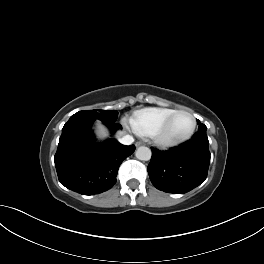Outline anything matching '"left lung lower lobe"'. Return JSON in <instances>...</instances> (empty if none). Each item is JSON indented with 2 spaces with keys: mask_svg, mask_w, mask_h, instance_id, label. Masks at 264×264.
Segmentation results:
<instances>
[{
  "mask_svg": "<svg viewBox=\"0 0 264 264\" xmlns=\"http://www.w3.org/2000/svg\"><path fill=\"white\" fill-rule=\"evenodd\" d=\"M152 149L147 167L152 184L167 193L184 194L207 177L210 152L205 131H198L187 142L167 151Z\"/></svg>",
  "mask_w": 264,
  "mask_h": 264,
  "instance_id": "0a47b994",
  "label": "left lung lower lobe"
}]
</instances>
